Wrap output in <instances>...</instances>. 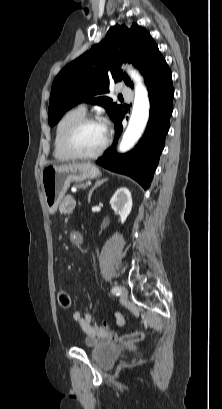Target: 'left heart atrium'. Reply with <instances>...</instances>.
I'll list each match as a JSON object with an SVG mask.
<instances>
[{
  "mask_svg": "<svg viewBox=\"0 0 222 409\" xmlns=\"http://www.w3.org/2000/svg\"><path fill=\"white\" fill-rule=\"evenodd\" d=\"M105 126V128H106V130H107V126L106 125H104Z\"/></svg>",
  "mask_w": 222,
  "mask_h": 409,
  "instance_id": "39dd6f15",
  "label": "left heart atrium"
}]
</instances>
